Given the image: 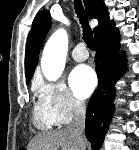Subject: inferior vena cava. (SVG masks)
<instances>
[{
  "instance_id": "1",
  "label": "inferior vena cava",
  "mask_w": 139,
  "mask_h": 150,
  "mask_svg": "<svg viewBox=\"0 0 139 150\" xmlns=\"http://www.w3.org/2000/svg\"><path fill=\"white\" fill-rule=\"evenodd\" d=\"M86 106L81 101L74 102V118L72 123L67 127L68 131L75 137L78 150H85V141L83 132L85 129Z\"/></svg>"
}]
</instances>
